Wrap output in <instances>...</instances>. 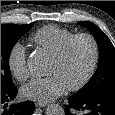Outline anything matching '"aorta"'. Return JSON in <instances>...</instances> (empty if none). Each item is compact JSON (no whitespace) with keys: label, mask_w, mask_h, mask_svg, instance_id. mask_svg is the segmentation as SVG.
I'll return each mask as SVG.
<instances>
[{"label":"aorta","mask_w":115,"mask_h":115,"mask_svg":"<svg viewBox=\"0 0 115 115\" xmlns=\"http://www.w3.org/2000/svg\"><path fill=\"white\" fill-rule=\"evenodd\" d=\"M28 69L33 75H43L47 66L46 60L35 54L29 57L27 63ZM46 115H65V111L62 106L58 104H50L46 108Z\"/></svg>","instance_id":"762f6f07"}]
</instances>
